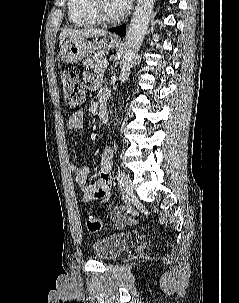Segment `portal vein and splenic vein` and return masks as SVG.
Segmentation results:
<instances>
[{
	"label": "portal vein and splenic vein",
	"instance_id": "obj_1",
	"mask_svg": "<svg viewBox=\"0 0 239 303\" xmlns=\"http://www.w3.org/2000/svg\"><path fill=\"white\" fill-rule=\"evenodd\" d=\"M108 65H109L108 61L105 60V61L103 62V66H104V67H108Z\"/></svg>",
	"mask_w": 239,
	"mask_h": 303
}]
</instances>
